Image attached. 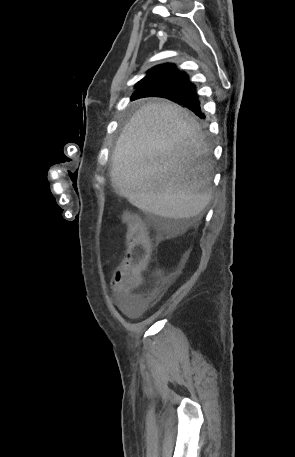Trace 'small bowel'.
<instances>
[{
  "label": "small bowel",
  "instance_id": "1",
  "mask_svg": "<svg viewBox=\"0 0 295 457\" xmlns=\"http://www.w3.org/2000/svg\"><path fill=\"white\" fill-rule=\"evenodd\" d=\"M123 279L115 273L112 279V287L117 296L120 309L128 316H137L143 313L150 304L149 299L134 296L131 292H125L122 288Z\"/></svg>",
  "mask_w": 295,
  "mask_h": 457
}]
</instances>
